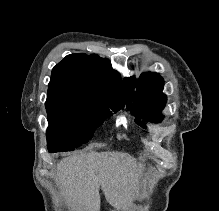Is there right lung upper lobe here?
<instances>
[{"label": "right lung upper lobe", "instance_id": "cb5924a9", "mask_svg": "<svg viewBox=\"0 0 219 211\" xmlns=\"http://www.w3.org/2000/svg\"><path fill=\"white\" fill-rule=\"evenodd\" d=\"M47 98L124 107L120 75L107 59L84 53L66 56L52 70Z\"/></svg>", "mask_w": 219, "mask_h": 211}]
</instances>
